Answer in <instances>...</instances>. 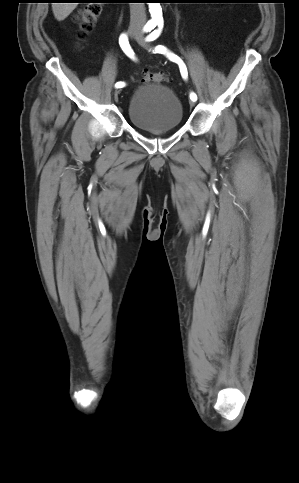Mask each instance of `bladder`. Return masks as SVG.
I'll return each mask as SVG.
<instances>
[{
  "label": "bladder",
  "instance_id": "bladder-1",
  "mask_svg": "<svg viewBox=\"0 0 299 483\" xmlns=\"http://www.w3.org/2000/svg\"><path fill=\"white\" fill-rule=\"evenodd\" d=\"M128 117L138 129L158 132L179 127L183 117L182 105L176 94L161 83L138 87L132 94Z\"/></svg>",
  "mask_w": 299,
  "mask_h": 483
}]
</instances>
